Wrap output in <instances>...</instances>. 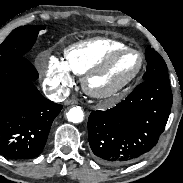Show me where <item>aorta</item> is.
Returning a JSON list of instances; mask_svg holds the SVG:
<instances>
[{"label": "aorta", "instance_id": "762f6f07", "mask_svg": "<svg viewBox=\"0 0 183 183\" xmlns=\"http://www.w3.org/2000/svg\"><path fill=\"white\" fill-rule=\"evenodd\" d=\"M66 115L68 121L73 123H80L83 121L84 118V112L79 106L71 108Z\"/></svg>", "mask_w": 183, "mask_h": 183}]
</instances>
